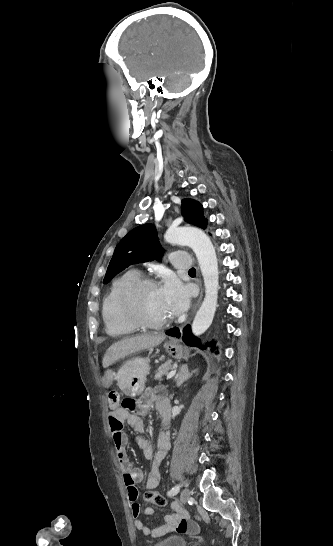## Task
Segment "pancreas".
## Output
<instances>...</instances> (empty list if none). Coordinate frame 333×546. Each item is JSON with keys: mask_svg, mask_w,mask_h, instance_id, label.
<instances>
[{"mask_svg": "<svg viewBox=\"0 0 333 546\" xmlns=\"http://www.w3.org/2000/svg\"><path fill=\"white\" fill-rule=\"evenodd\" d=\"M174 366L172 365V362L169 360L162 366L158 368V370L155 373V379L156 380H162L165 376L168 375V371L173 369Z\"/></svg>", "mask_w": 333, "mask_h": 546, "instance_id": "cf45deb5", "label": "pancreas"}]
</instances>
